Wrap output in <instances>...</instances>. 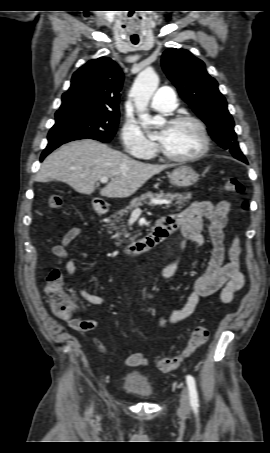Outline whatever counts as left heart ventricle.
<instances>
[{"instance_id": "obj_1", "label": "left heart ventricle", "mask_w": 270, "mask_h": 453, "mask_svg": "<svg viewBox=\"0 0 270 453\" xmlns=\"http://www.w3.org/2000/svg\"><path fill=\"white\" fill-rule=\"evenodd\" d=\"M157 138L164 150L174 156L192 155L202 147L198 128L188 122L163 125Z\"/></svg>"}]
</instances>
